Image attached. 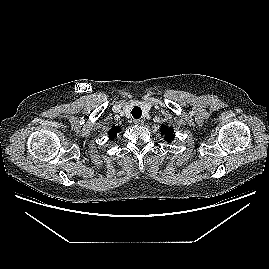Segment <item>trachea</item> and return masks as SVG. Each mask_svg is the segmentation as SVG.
Wrapping results in <instances>:
<instances>
[{"instance_id":"obj_1","label":"trachea","mask_w":269,"mask_h":269,"mask_svg":"<svg viewBox=\"0 0 269 269\" xmlns=\"http://www.w3.org/2000/svg\"><path fill=\"white\" fill-rule=\"evenodd\" d=\"M142 115V110L140 107L138 106H135L133 109H132V116L136 119H139Z\"/></svg>"}]
</instances>
